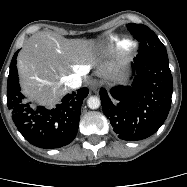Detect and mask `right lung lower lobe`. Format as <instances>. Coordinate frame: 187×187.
I'll use <instances>...</instances> for the list:
<instances>
[{
  "label": "right lung lower lobe",
  "mask_w": 187,
  "mask_h": 187,
  "mask_svg": "<svg viewBox=\"0 0 187 187\" xmlns=\"http://www.w3.org/2000/svg\"><path fill=\"white\" fill-rule=\"evenodd\" d=\"M18 52L11 61L7 82V105L17 129L28 142L40 148H59L71 143L78 131L81 105L88 88L67 94L53 109L26 102L19 86Z\"/></svg>",
  "instance_id": "obj_1"
}]
</instances>
